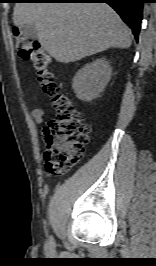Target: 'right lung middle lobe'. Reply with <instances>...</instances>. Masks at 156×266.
Here are the masks:
<instances>
[{
    "label": "right lung middle lobe",
    "instance_id": "dd1d6c3e",
    "mask_svg": "<svg viewBox=\"0 0 156 266\" xmlns=\"http://www.w3.org/2000/svg\"><path fill=\"white\" fill-rule=\"evenodd\" d=\"M16 1H25V0H16Z\"/></svg>",
    "mask_w": 156,
    "mask_h": 266
}]
</instances>
